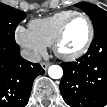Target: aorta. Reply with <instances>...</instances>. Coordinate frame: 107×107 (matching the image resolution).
I'll list each match as a JSON object with an SVG mask.
<instances>
[{"instance_id": "1", "label": "aorta", "mask_w": 107, "mask_h": 107, "mask_svg": "<svg viewBox=\"0 0 107 107\" xmlns=\"http://www.w3.org/2000/svg\"><path fill=\"white\" fill-rule=\"evenodd\" d=\"M48 74L52 79H60L63 76V70L59 65H51Z\"/></svg>"}]
</instances>
